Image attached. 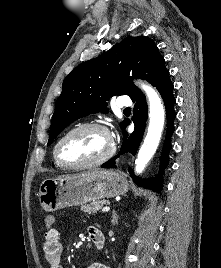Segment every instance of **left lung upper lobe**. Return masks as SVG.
Instances as JSON below:
<instances>
[{"label": "left lung upper lobe", "mask_w": 221, "mask_h": 268, "mask_svg": "<svg viewBox=\"0 0 221 268\" xmlns=\"http://www.w3.org/2000/svg\"><path fill=\"white\" fill-rule=\"evenodd\" d=\"M168 77L164 58L151 39L143 36L124 39L67 75L55 104L48 145L76 119L100 111L107 113L106 101L111 96L128 95L133 100L143 95L132 79L147 80L157 88ZM127 122L125 119L122 129Z\"/></svg>", "instance_id": "left-lung-upper-lobe-1"}]
</instances>
